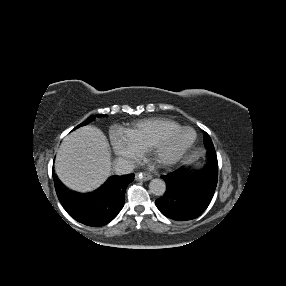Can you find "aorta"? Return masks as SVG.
Masks as SVG:
<instances>
[{"label": "aorta", "mask_w": 286, "mask_h": 286, "mask_svg": "<svg viewBox=\"0 0 286 286\" xmlns=\"http://www.w3.org/2000/svg\"><path fill=\"white\" fill-rule=\"evenodd\" d=\"M149 189L155 196H162L166 191V183L159 178L152 179L149 183Z\"/></svg>", "instance_id": "1"}]
</instances>
